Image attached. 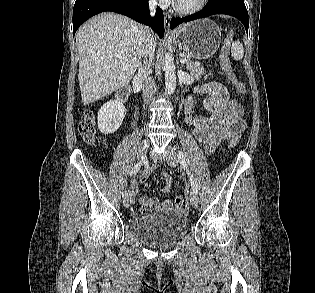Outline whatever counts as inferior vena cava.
I'll return each mask as SVG.
<instances>
[{"label": "inferior vena cava", "instance_id": "obj_1", "mask_svg": "<svg viewBox=\"0 0 315 293\" xmlns=\"http://www.w3.org/2000/svg\"><path fill=\"white\" fill-rule=\"evenodd\" d=\"M149 11L151 15L155 14L156 11L155 0H150ZM154 50L155 46L153 45L152 33L148 28H144V46L142 49L143 63L139 64L138 74L136 77L144 81L143 98L145 102H149V100L152 98L153 94L156 91L154 81L147 79L151 67V62L154 57Z\"/></svg>", "mask_w": 315, "mask_h": 293}]
</instances>
